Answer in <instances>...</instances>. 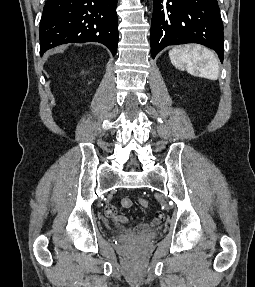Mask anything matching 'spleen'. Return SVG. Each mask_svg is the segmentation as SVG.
<instances>
[{
    "instance_id": "3e777b00",
    "label": "spleen",
    "mask_w": 255,
    "mask_h": 287,
    "mask_svg": "<svg viewBox=\"0 0 255 287\" xmlns=\"http://www.w3.org/2000/svg\"><path fill=\"white\" fill-rule=\"evenodd\" d=\"M171 64L175 68H188L197 72L199 78L218 80L219 62L214 54L203 46H175L169 52Z\"/></svg>"
}]
</instances>
